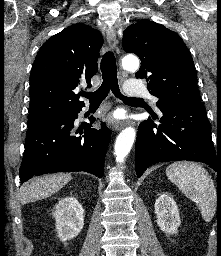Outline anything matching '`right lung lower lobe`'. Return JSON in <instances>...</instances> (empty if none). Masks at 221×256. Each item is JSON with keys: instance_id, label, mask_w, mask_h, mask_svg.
I'll list each match as a JSON object with an SVG mask.
<instances>
[{"instance_id": "right-lung-lower-lobe-1", "label": "right lung lower lobe", "mask_w": 221, "mask_h": 256, "mask_svg": "<svg viewBox=\"0 0 221 256\" xmlns=\"http://www.w3.org/2000/svg\"><path fill=\"white\" fill-rule=\"evenodd\" d=\"M80 110L28 127L20 168L21 182L36 175L64 171H86L99 178L103 176L110 131L105 123L100 130L85 123L84 131L74 133V121Z\"/></svg>"}]
</instances>
